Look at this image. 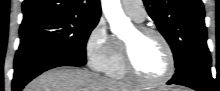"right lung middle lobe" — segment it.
I'll list each match as a JSON object with an SVG mask.
<instances>
[{"label":"right lung middle lobe","mask_w":220,"mask_h":91,"mask_svg":"<svg viewBox=\"0 0 220 91\" xmlns=\"http://www.w3.org/2000/svg\"><path fill=\"white\" fill-rule=\"evenodd\" d=\"M99 21L76 15H57L22 23L19 49L55 47L86 57V42Z\"/></svg>","instance_id":"1"}]
</instances>
